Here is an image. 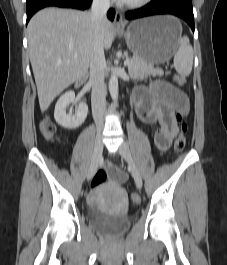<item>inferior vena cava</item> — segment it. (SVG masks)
<instances>
[{"mask_svg": "<svg viewBox=\"0 0 227 265\" xmlns=\"http://www.w3.org/2000/svg\"><path fill=\"white\" fill-rule=\"evenodd\" d=\"M110 7V0H93L91 19L94 23L93 47L90 57V82L92 84L91 106L97 130L101 131L106 109L105 99V70L106 61L102 44L101 24L106 20V13Z\"/></svg>", "mask_w": 227, "mask_h": 265, "instance_id": "obj_1", "label": "inferior vena cava"}]
</instances>
